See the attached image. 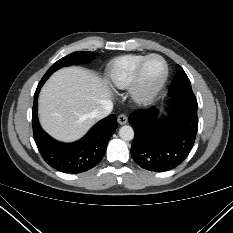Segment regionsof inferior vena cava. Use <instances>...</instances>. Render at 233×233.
<instances>
[{
    "label": "inferior vena cava",
    "mask_w": 233,
    "mask_h": 233,
    "mask_svg": "<svg viewBox=\"0 0 233 233\" xmlns=\"http://www.w3.org/2000/svg\"><path fill=\"white\" fill-rule=\"evenodd\" d=\"M112 109H113L112 102L109 100L104 101L101 106H99L97 109L93 110L90 113V117L95 119H103L111 113Z\"/></svg>",
    "instance_id": "1"
}]
</instances>
